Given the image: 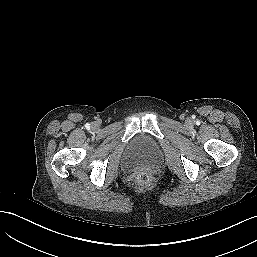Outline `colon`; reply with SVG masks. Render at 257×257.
<instances>
[{"label":"colon","mask_w":257,"mask_h":257,"mask_svg":"<svg viewBox=\"0 0 257 257\" xmlns=\"http://www.w3.org/2000/svg\"><path fill=\"white\" fill-rule=\"evenodd\" d=\"M153 177L149 173H139L136 177V183L139 187H148L151 185Z\"/></svg>","instance_id":"5ec220e1"}]
</instances>
